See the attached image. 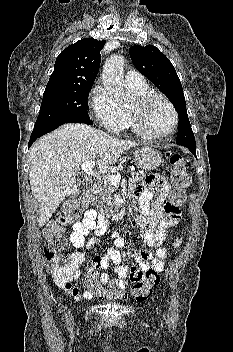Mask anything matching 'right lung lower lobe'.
Listing matches in <instances>:
<instances>
[{"label":"right lung lower lobe","mask_w":233,"mask_h":352,"mask_svg":"<svg viewBox=\"0 0 233 352\" xmlns=\"http://www.w3.org/2000/svg\"><path fill=\"white\" fill-rule=\"evenodd\" d=\"M65 123L92 124L93 122L90 119L69 118V119H65V120L49 123V124H46V125H43V126L34 127L33 132L31 133V137H30V140H29L28 147H30L37 138L43 136L46 133H49V132L53 131L54 129L58 128L60 125L65 124Z\"/></svg>","instance_id":"98d812e1"}]
</instances>
